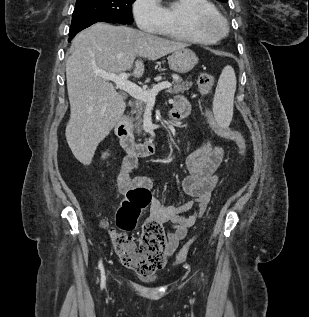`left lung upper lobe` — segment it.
I'll list each match as a JSON object with an SVG mask.
<instances>
[{
  "label": "left lung upper lobe",
  "mask_w": 309,
  "mask_h": 317,
  "mask_svg": "<svg viewBox=\"0 0 309 317\" xmlns=\"http://www.w3.org/2000/svg\"><path fill=\"white\" fill-rule=\"evenodd\" d=\"M218 1L227 2V0H218Z\"/></svg>",
  "instance_id": "5c2ea615"
}]
</instances>
